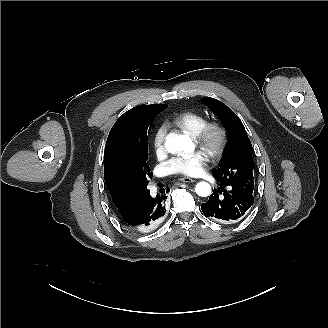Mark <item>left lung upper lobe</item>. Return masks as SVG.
Returning <instances> with one entry per match:
<instances>
[{
  "label": "left lung upper lobe",
  "instance_id": "obj_1",
  "mask_svg": "<svg viewBox=\"0 0 328 328\" xmlns=\"http://www.w3.org/2000/svg\"><path fill=\"white\" fill-rule=\"evenodd\" d=\"M202 101L220 118L229 135L219 167L212 172L213 176L225 185L238 186L253 193L255 162L252 145L241 120L217 99L207 97Z\"/></svg>",
  "mask_w": 328,
  "mask_h": 328
}]
</instances>
